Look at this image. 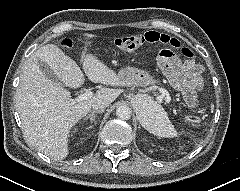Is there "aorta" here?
<instances>
[{
	"instance_id": "obj_1",
	"label": "aorta",
	"mask_w": 240,
	"mask_h": 191,
	"mask_svg": "<svg viewBox=\"0 0 240 191\" xmlns=\"http://www.w3.org/2000/svg\"><path fill=\"white\" fill-rule=\"evenodd\" d=\"M140 100L143 101L145 107L150 106V102H149V100L146 97H144V98H142ZM131 113H132V111H131V109L127 105H120L116 109V116L119 119H122V120L130 119Z\"/></svg>"
}]
</instances>
